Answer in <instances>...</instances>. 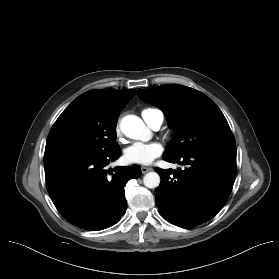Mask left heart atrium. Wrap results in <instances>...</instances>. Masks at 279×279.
Wrapping results in <instances>:
<instances>
[{"mask_svg":"<svg viewBox=\"0 0 279 279\" xmlns=\"http://www.w3.org/2000/svg\"><path fill=\"white\" fill-rule=\"evenodd\" d=\"M162 151V146L157 142H135L125 149L124 159L128 163L148 165L159 157Z\"/></svg>","mask_w":279,"mask_h":279,"instance_id":"obj_1","label":"left heart atrium"}]
</instances>
